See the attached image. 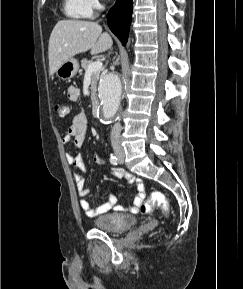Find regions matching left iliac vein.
<instances>
[{
    "label": "left iliac vein",
    "mask_w": 243,
    "mask_h": 289,
    "mask_svg": "<svg viewBox=\"0 0 243 289\" xmlns=\"http://www.w3.org/2000/svg\"><path fill=\"white\" fill-rule=\"evenodd\" d=\"M118 160H119V163H123L124 162V153L123 152H120L118 154Z\"/></svg>",
    "instance_id": "4c4485c4"
}]
</instances>
